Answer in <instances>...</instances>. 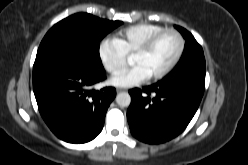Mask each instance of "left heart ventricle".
<instances>
[{
	"label": "left heart ventricle",
	"mask_w": 248,
	"mask_h": 165,
	"mask_svg": "<svg viewBox=\"0 0 248 165\" xmlns=\"http://www.w3.org/2000/svg\"><path fill=\"white\" fill-rule=\"evenodd\" d=\"M178 49V40L174 34L163 35L145 54L132 56L133 65H142L150 77L163 70L174 58Z\"/></svg>",
	"instance_id": "1"
}]
</instances>
